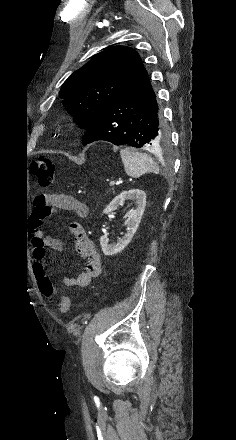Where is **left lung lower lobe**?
Segmentation results:
<instances>
[{
    "instance_id": "0a47b994",
    "label": "left lung lower lobe",
    "mask_w": 236,
    "mask_h": 440,
    "mask_svg": "<svg viewBox=\"0 0 236 440\" xmlns=\"http://www.w3.org/2000/svg\"><path fill=\"white\" fill-rule=\"evenodd\" d=\"M168 132L147 72L110 103L82 139L86 145L104 140L115 145L156 148Z\"/></svg>"
}]
</instances>
